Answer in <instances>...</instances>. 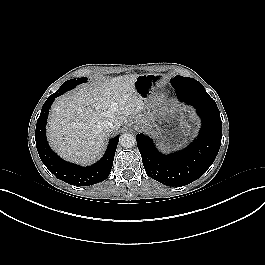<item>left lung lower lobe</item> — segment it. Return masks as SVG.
Instances as JSON below:
<instances>
[{"mask_svg": "<svg viewBox=\"0 0 265 265\" xmlns=\"http://www.w3.org/2000/svg\"><path fill=\"white\" fill-rule=\"evenodd\" d=\"M171 83L179 100L194 106L202 120L197 139L187 148L169 155H162L142 133L136 139L147 175L164 185L177 187L197 180L214 162L221 144L222 122L215 101L197 80Z\"/></svg>", "mask_w": 265, "mask_h": 265, "instance_id": "1", "label": "left lung lower lobe"}]
</instances>
